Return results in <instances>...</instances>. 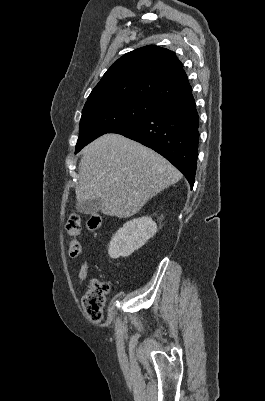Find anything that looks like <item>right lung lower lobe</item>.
<instances>
[{"mask_svg":"<svg viewBox=\"0 0 265 401\" xmlns=\"http://www.w3.org/2000/svg\"><path fill=\"white\" fill-rule=\"evenodd\" d=\"M199 115L192 91L165 101L152 114L114 130L161 154L186 177L195 182L199 143Z\"/></svg>","mask_w":265,"mask_h":401,"instance_id":"obj_1","label":"right lung lower lobe"}]
</instances>
